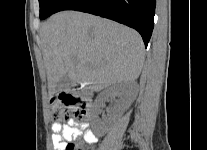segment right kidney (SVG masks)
<instances>
[{
  "label": "right kidney",
  "mask_w": 207,
  "mask_h": 150,
  "mask_svg": "<svg viewBox=\"0 0 207 150\" xmlns=\"http://www.w3.org/2000/svg\"><path fill=\"white\" fill-rule=\"evenodd\" d=\"M126 91L125 86L121 84L113 86L107 93L100 95L95 101V107H100L101 103L108 98V96H119L121 93ZM129 107V104L126 100H123L117 105L116 112L123 114L125 110Z\"/></svg>",
  "instance_id": "ca27d5eb"
}]
</instances>
